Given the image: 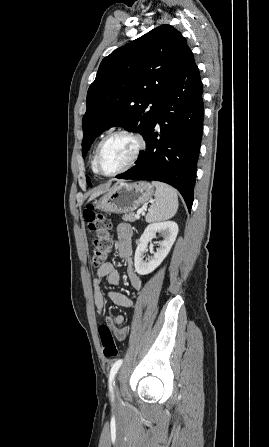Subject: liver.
Segmentation results:
<instances>
[{"mask_svg": "<svg viewBox=\"0 0 269 447\" xmlns=\"http://www.w3.org/2000/svg\"><path fill=\"white\" fill-rule=\"evenodd\" d=\"M109 188H105V190H97V192H93L90 196V200H94V198H97V196H100L102 192H108Z\"/></svg>", "mask_w": 269, "mask_h": 447, "instance_id": "6515ba94", "label": "liver"}]
</instances>
